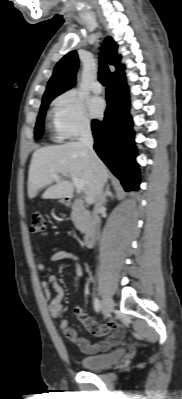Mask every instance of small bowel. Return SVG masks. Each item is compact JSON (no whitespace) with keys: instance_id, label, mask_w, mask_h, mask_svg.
Returning a JSON list of instances; mask_svg holds the SVG:
<instances>
[{"instance_id":"obj_1","label":"small bowel","mask_w":182,"mask_h":399,"mask_svg":"<svg viewBox=\"0 0 182 399\" xmlns=\"http://www.w3.org/2000/svg\"><path fill=\"white\" fill-rule=\"evenodd\" d=\"M50 262H58L63 260L71 261L75 266L74 283L84 276V269L78 255L66 251L62 248L55 247L48 258ZM39 271H44L46 265L43 262L37 264ZM42 288L44 289L45 298L49 301L48 311L52 318H60L63 315L64 307L61 304L64 298V290L56 282L55 275H50L48 279L42 281ZM56 293V297L52 299V293ZM75 314L79 320L85 325L87 331L96 337H104V340L91 342L86 338L78 336L75 329L69 327L67 319H62L59 324L60 331L64 337L72 344L78 346L82 352L86 354H95L102 351H107L111 347L117 345L123 336L124 327L117 320H110L107 324L101 325L86 315L80 308L75 309Z\"/></svg>"}]
</instances>
